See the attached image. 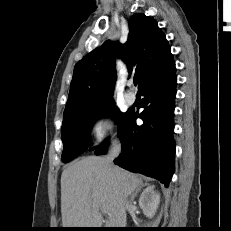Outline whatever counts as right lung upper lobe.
<instances>
[{
	"mask_svg": "<svg viewBox=\"0 0 231 231\" xmlns=\"http://www.w3.org/2000/svg\"><path fill=\"white\" fill-rule=\"evenodd\" d=\"M116 56L139 79V90L175 73L170 46L157 22L136 13L125 44L107 40L75 65L64 115L113 101Z\"/></svg>",
	"mask_w": 231,
	"mask_h": 231,
	"instance_id": "cb5924a9",
	"label": "right lung upper lobe"
}]
</instances>
